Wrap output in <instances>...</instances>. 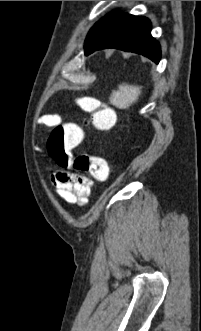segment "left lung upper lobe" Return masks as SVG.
Here are the masks:
<instances>
[{
    "label": "left lung upper lobe",
    "instance_id": "5c2ea615",
    "mask_svg": "<svg viewBox=\"0 0 201 331\" xmlns=\"http://www.w3.org/2000/svg\"><path fill=\"white\" fill-rule=\"evenodd\" d=\"M99 22V21H98ZM98 22L91 28V30L89 31V34L94 30V28L97 26ZM88 34V35H89Z\"/></svg>",
    "mask_w": 201,
    "mask_h": 331
}]
</instances>
